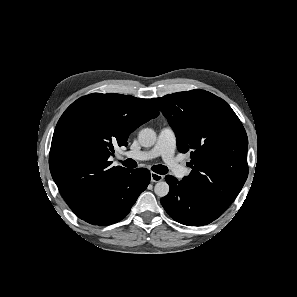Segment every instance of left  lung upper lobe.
<instances>
[{
	"instance_id": "1",
	"label": "left lung upper lobe",
	"mask_w": 297,
	"mask_h": 297,
	"mask_svg": "<svg viewBox=\"0 0 297 297\" xmlns=\"http://www.w3.org/2000/svg\"><path fill=\"white\" fill-rule=\"evenodd\" d=\"M168 119L180 152L191 151V173L183 183L194 193L225 211L241 191L247 176L248 138L223 99L205 90H191L152 98Z\"/></svg>"
}]
</instances>
